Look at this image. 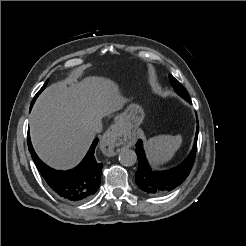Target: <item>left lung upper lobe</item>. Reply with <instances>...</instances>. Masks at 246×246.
I'll return each instance as SVG.
<instances>
[{
    "label": "left lung upper lobe",
    "mask_w": 246,
    "mask_h": 246,
    "mask_svg": "<svg viewBox=\"0 0 246 246\" xmlns=\"http://www.w3.org/2000/svg\"><path fill=\"white\" fill-rule=\"evenodd\" d=\"M169 78L173 88L180 96L184 99L190 98L186 89L172 75H169Z\"/></svg>",
    "instance_id": "obj_1"
}]
</instances>
